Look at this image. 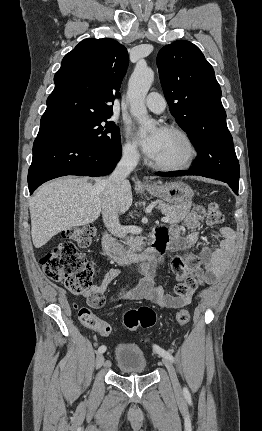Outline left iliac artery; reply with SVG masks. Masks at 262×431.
Here are the masks:
<instances>
[{
    "instance_id": "obj_1",
    "label": "left iliac artery",
    "mask_w": 262,
    "mask_h": 431,
    "mask_svg": "<svg viewBox=\"0 0 262 431\" xmlns=\"http://www.w3.org/2000/svg\"><path fill=\"white\" fill-rule=\"evenodd\" d=\"M154 350H155L159 355H161V356H163V357H165V358H168V359H169V360H171V361H174L173 356H172L169 352L165 351L164 349H162V348H160V347H158V346H154Z\"/></svg>"
}]
</instances>
